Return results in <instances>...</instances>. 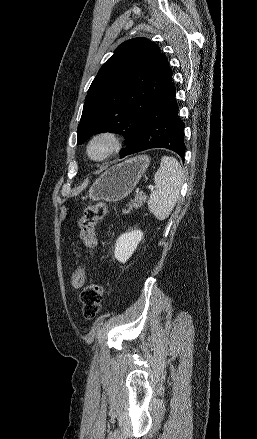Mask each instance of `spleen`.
Instances as JSON below:
<instances>
[{
	"instance_id": "1",
	"label": "spleen",
	"mask_w": 257,
	"mask_h": 439,
	"mask_svg": "<svg viewBox=\"0 0 257 439\" xmlns=\"http://www.w3.org/2000/svg\"><path fill=\"white\" fill-rule=\"evenodd\" d=\"M184 173L173 157L163 156L154 175L155 190L148 200L149 211L162 221L171 214L183 184Z\"/></svg>"
}]
</instances>
